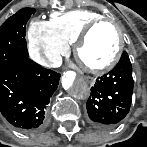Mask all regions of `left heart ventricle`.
Here are the masks:
<instances>
[{"mask_svg": "<svg viewBox=\"0 0 147 147\" xmlns=\"http://www.w3.org/2000/svg\"><path fill=\"white\" fill-rule=\"evenodd\" d=\"M117 32L111 26L96 28L81 50V58L91 65L106 62L117 45Z\"/></svg>", "mask_w": 147, "mask_h": 147, "instance_id": "1", "label": "left heart ventricle"}]
</instances>
